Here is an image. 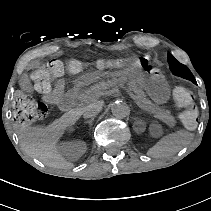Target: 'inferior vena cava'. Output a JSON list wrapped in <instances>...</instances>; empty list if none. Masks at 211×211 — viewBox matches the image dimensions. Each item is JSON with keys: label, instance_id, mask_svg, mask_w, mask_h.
Segmentation results:
<instances>
[{"label": "inferior vena cava", "instance_id": "602c4592", "mask_svg": "<svg viewBox=\"0 0 211 211\" xmlns=\"http://www.w3.org/2000/svg\"><path fill=\"white\" fill-rule=\"evenodd\" d=\"M103 109L102 102H94L88 106H85L81 109V114L84 118H93L97 116Z\"/></svg>", "mask_w": 211, "mask_h": 211}]
</instances>
